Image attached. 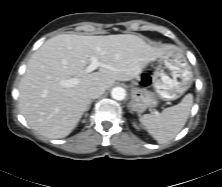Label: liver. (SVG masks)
<instances>
[{
    "mask_svg": "<svg viewBox=\"0 0 222 187\" xmlns=\"http://www.w3.org/2000/svg\"><path fill=\"white\" fill-rule=\"evenodd\" d=\"M171 48L130 34L54 36L33 53L27 64L19 85L20 112L39 134L64 138L88 110L89 88L102 86L106 90L115 81L131 80ZM91 57H96L101 66L97 72L86 73ZM71 77L78 79V84H60Z\"/></svg>",
    "mask_w": 222,
    "mask_h": 187,
    "instance_id": "6515ba94",
    "label": "liver"
}]
</instances>
